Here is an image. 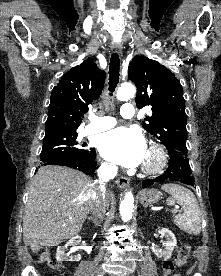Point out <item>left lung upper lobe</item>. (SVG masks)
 Wrapping results in <instances>:
<instances>
[{
	"label": "left lung upper lobe",
	"instance_id": "5c2ea615",
	"mask_svg": "<svg viewBox=\"0 0 221 276\" xmlns=\"http://www.w3.org/2000/svg\"><path fill=\"white\" fill-rule=\"evenodd\" d=\"M128 77L137 87V107L150 105L153 112L143 128L161 141L169 155L187 156V116L180 81L167 67L144 56L133 58Z\"/></svg>",
	"mask_w": 221,
	"mask_h": 276
}]
</instances>
